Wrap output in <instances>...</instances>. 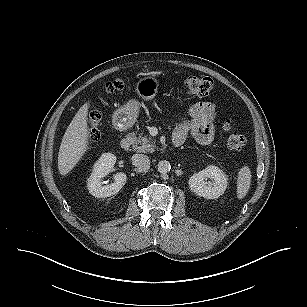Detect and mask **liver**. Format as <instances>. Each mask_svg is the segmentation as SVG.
<instances>
[{
	"label": "liver",
	"instance_id": "obj_1",
	"mask_svg": "<svg viewBox=\"0 0 307 307\" xmlns=\"http://www.w3.org/2000/svg\"><path fill=\"white\" fill-rule=\"evenodd\" d=\"M89 103H85L69 124L59 148L58 170L67 175L87 151L89 129L87 123Z\"/></svg>",
	"mask_w": 307,
	"mask_h": 307
}]
</instances>
